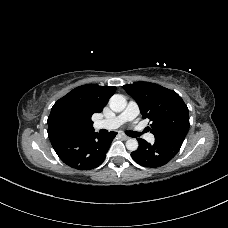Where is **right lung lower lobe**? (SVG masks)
<instances>
[{"instance_id": "98d812e1", "label": "right lung lower lobe", "mask_w": 228, "mask_h": 228, "mask_svg": "<svg viewBox=\"0 0 228 228\" xmlns=\"http://www.w3.org/2000/svg\"><path fill=\"white\" fill-rule=\"evenodd\" d=\"M116 132L100 135L62 136L51 141L59 158L68 166L78 170H89L99 166L106 157Z\"/></svg>"}]
</instances>
